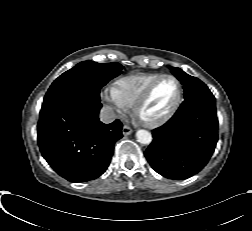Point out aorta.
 Wrapping results in <instances>:
<instances>
[{
	"mask_svg": "<svg viewBox=\"0 0 252 231\" xmlns=\"http://www.w3.org/2000/svg\"><path fill=\"white\" fill-rule=\"evenodd\" d=\"M136 139L140 144L148 145L152 142V135L147 130H138L136 132Z\"/></svg>",
	"mask_w": 252,
	"mask_h": 231,
	"instance_id": "1",
	"label": "aorta"
}]
</instances>
